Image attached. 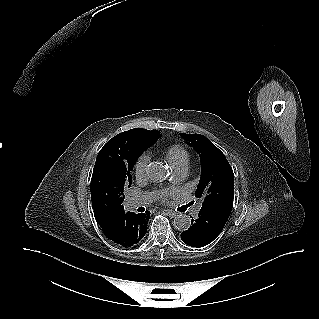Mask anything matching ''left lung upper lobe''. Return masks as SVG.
<instances>
[{
    "label": "left lung upper lobe",
    "mask_w": 319,
    "mask_h": 319,
    "mask_svg": "<svg viewBox=\"0 0 319 319\" xmlns=\"http://www.w3.org/2000/svg\"><path fill=\"white\" fill-rule=\"evenodd\" d=\"M200 156L201 177L195 196L202 207L233 205L234 175L225 155L201 134H180Z\"/></svg>",
    "instance_id": "1"
}]
</instances>
